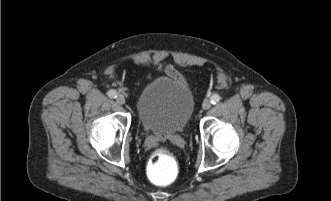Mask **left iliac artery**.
<instances>
[{"label":"left iliac artery","instance_id":"44dca946","mask_svg":"<svg viewBox=\"0 0 331 201\" xmlns=\"http://www.w3.org/2000/svg\"><path fill=\"white\" fill-rule=\"evenodd\" d=\"M221 97L218 94H214L212 95V97L210 98V102L212 104H216L220 101Z\"/></svg>","mask_w":331,"mask_h":201}]
</instances>
